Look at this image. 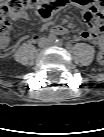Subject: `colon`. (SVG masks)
I'll use <instances>...</instances> for the list:
<instances>
[{"instance_id":"5ec220e1","label":"colon","mask_w":104,"mask_h":137,"mask_svg":"<svg viewBox=\"0 0 104 137\" xmlns=\"http://www.w3.org/2000/svg\"><path fill=\"white\" fill-rule=\"evenodd\" d=\"M72 0H5L0 7V34L10 31V19L17 18L24 13L35 10L42 18H49L60 6ZM102 5L103 0H95Z\"/></svg>"}]
</instances>
